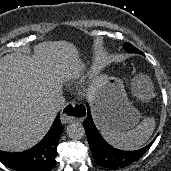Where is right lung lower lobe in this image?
Instances as JSON below:
<instances>
[{"mask_svg": "<svg viewBox=\"0 0 171 171\" xmlns=\"http://www.w3.org/2000/svg\"><path fill=\"white\" fill-rule=\"evenodd\" d=\"M62 132L63 127L57 116L46 136L37 145L19 153L0 151V162L16 171H50L56 164L57 145Z\"/></svg>", "mask_w": 171, "mask_h": 171, "instance_id": "obj_1", "label": "right lung lower lobe"}]
</instances>
